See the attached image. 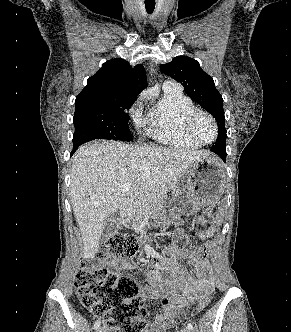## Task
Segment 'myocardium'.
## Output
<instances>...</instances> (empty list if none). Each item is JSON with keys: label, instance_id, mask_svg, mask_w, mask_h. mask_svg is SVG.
I'll list each match as a JSON object with an SVG mask.
<instances>
[{"label": "myocardium", "instance_id": "f54148a6", "mask_svg": "<svg viewBox=\"0 0 291 332\" xmlns=\"http://www.w3.org/2000/svg\"><path fill=\"white\" fill-rule=\"evenodd\" d=\"M200 115L207 117L213 125L214 137L211 141L201 140L194 132V122H195L196 118ZM184 130H185L186 134L193 141L197 142L200 145L212 144L213 142H215V140L218 137V125H217L215 118L213 117V115L211 113H209L208 111H206L204 109H200V108H194L186 114V116L184 118Z\"/></svg>", "mask_w": 291, "mask_h": 332}]
</instances>
